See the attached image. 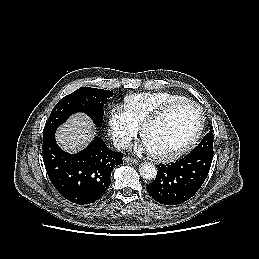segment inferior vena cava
<instances>
[{
	"mask_svg": "<svg viewBox=\"0 0 259 259\" xmlns=\"http://www.w3.org/2000/svg\"><path fill=\"white\" fill-rule=\"evenodd\" d=\"M114 146L117 149H127L129 147V141L127 139H116L114 141Z\"/></svg>",
	"mask_w": 259,
	"mask_h": 259,
	"instance_id": "602c4592",
	"label": "inferior vena cava"
}]
</instances>
